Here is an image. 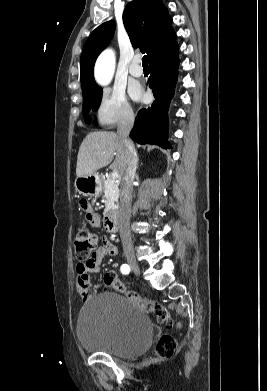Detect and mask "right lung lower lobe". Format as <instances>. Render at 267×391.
Listing matches in <instances>:
<instances>
[{"instance_id": "98d812e1", "label": "right lung lower lobe", "mask_w": 267, "mask_h": 391, "mask_svg": "<svg viewBox=\"0 0 267 391\" xmlns=\"http://www.w3.org/2000/svg\"><path fill=\"white\" fill-rule=\"evenodd\" d=\"M177 42L169 49L160 52L149 60L151 76L149 87L155 96L151 107L141 109L136 117L130 137L140 144H157L171 148L167 143V111L177 82L179 65Z\"/></svg>"}]
</instances>
